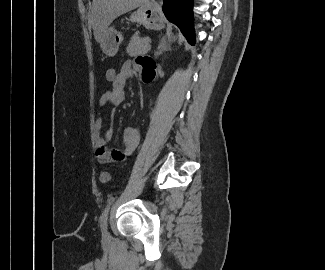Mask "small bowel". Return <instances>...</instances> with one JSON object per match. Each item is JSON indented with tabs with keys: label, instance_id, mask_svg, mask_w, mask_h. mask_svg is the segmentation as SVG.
<instances>
[{
	"label": "small bowel",
	"instance_id": "c3829d8e",
	"mask_svg": "<svg viewBox=\"0 0 325 270\" xmlns=\"http://www.w3.org/2000/svg\"><path fill=\"white\" fill-rule=\"evenodd\" d=\"M135 68L140 73L144 81H151L155 78L157 73V66L154 59L147 55H141L136 58ZM118 73L119 81L111 90L104 92L100 98V106L111 105L113 107L120 106L124 103L126 95L124 87L126 81L132 78L135 74L133 64L131 61H126L120 68ZM103 118L99 116L94 122L95 133V156L100 163L108 161H122L130 156L136 149L139 142V131L134 126H128L123 131V150H108L106 143L113 135L112 127L109 126L104 134H102Z\"/></svg>",
	"mask_w": 325,
	"mask_h": 270
}]
</instances>
